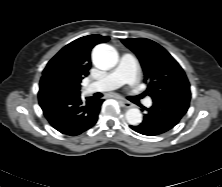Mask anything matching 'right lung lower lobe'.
<instances>
[{
	"instance_id": "obj_1",
	"label": "right lung lower lobe",
	"mask_w": 222,
	"mask_h": 187,
	"mask_svg": "<svg viewBox=\"0 0 222 187\" xmlns=\"http://www.w3.org/2000/svg\"><path fill=\"white\" fill-rule=\"evenodd\" d=\"M62 80L46 77L40 81L39 104L50 125L57 131L76 136L92 127L100 112L103 99L87 97L66 88Z\"/></svg>"
}]
</instances>
